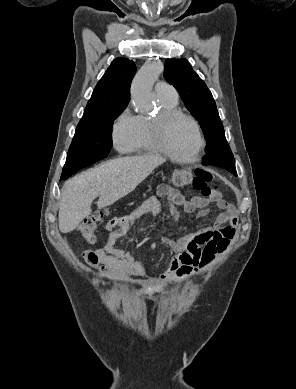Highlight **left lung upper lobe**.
Returning a JSON list of instances; mask_svg holds the SVG:
<instances>
[{
  "mask_svg": "<svg viewBox=\"0 0 296 389\" xmlns=\"http://www.w3.org/2000/svg\"><path fill=\"white\" fill-rule=\"evenodd\" d=\"M164 78L177 89L188 110L200 122L207 140L203 160V165H207V154L225 139L213 96L186 59L167 60Z\"/></svg>",
  "mask_w": 296,
  "mask_h": 389,
  "instance_id": "obj_1",
  "label": "left lung upper lobe"
}]
</instances>
